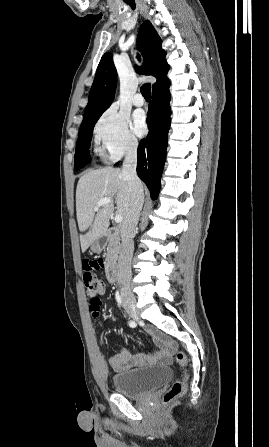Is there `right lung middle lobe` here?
<instances>
[{
  "label": "right lung middle lobe",
  "mask_w": 269,
  "mask_h": 447,
  "mask_svg": "<svg viewBox=\"0 0 269 447\" xmlns=\"http://www.w3.org/2000/svg\"><path fill=\"white\" fill-rule=\"evenodd\" d=\"M97 121L87 124L80 128L74 157V167L76 170L81 169L84 165L91 161L89 156V147L92 139L93 127Z\"/></svg>",
  "instance_id": "dd1d6c3e"
}]
</instances>
